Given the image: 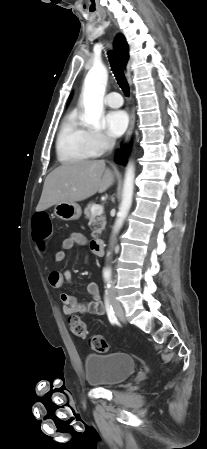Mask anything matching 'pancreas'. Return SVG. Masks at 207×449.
<instances>
[{"label": "pancreas", "mask_w": 207, "mask_h": 449, "mask_svg": "<svg viewBox=\"0 0 207 449\" xmlns=\"http://www.w3.org/2000/svg\"><path fill=\"white\" fill-rule=\"evenodd\" d=\"M95 205V203H89L84 210L85 217L92 221L94 230L91 234L93 238H96L99 234H101L102 230H104L106 225L105 216H97L92 214L91 208Z\"/></svg>", "instance_id": "1"}]
</instances>
